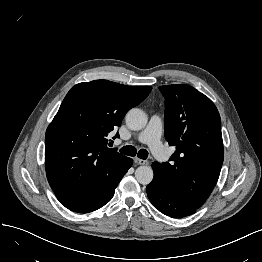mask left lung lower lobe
I'll use <instances>...</instances> for the list:
<instances>
[{
	"label": "left lung lower lobe",
	"instance_id": "obj_1",
	"mask_svg": "<svg viewBox=\"0 0 262 262\" xmlns=\"http://www.w3.org/2000/svg\"><path fill=\"white\" fill-rule=\"evenodd\" d=\"M152 168L154 170V179L147 186L146 191L154 207L172 218H183L194 214L197 208L186 203L166 184L160 164L154 162Z\"/></svg>",
	"mask_w": 262,
	"mask_h": 262
}]
</instances>
